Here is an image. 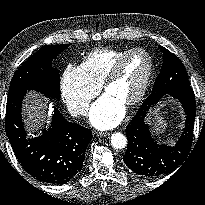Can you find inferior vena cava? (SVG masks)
Wrapping results in <instances>:
<instances>
[{"mask_svg": "<svg viewBox=\"0 0 205 205\" xmlns=\"http://www.w3.org/2000/svg\"><path fill=\"white\" fill-rule=\"evenodd\" d=\"M88 108L89 106L84 104L81 106H77L76 108H74V110L72 111L73 116H77V115H86L88 113Z\"/></svg>", "mask_w": 205, "mask_h": 205, "instance_id": "602c4592", "label": "inferior vena cava"}]
</instances>
